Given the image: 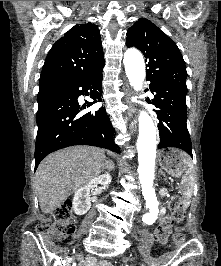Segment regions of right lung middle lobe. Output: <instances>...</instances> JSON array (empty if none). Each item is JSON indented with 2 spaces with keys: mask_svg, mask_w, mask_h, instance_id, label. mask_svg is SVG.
I'll list each match as a JSON object with an SVG mask.
<instances>
[{
  "mask_svg": "<svg viewBox=\"0 0 221 266\" xmlns=\"http://www.w3.org/2000/svg\"><path fill=\"white\" fill-rule=\"evenodd\" d=\"M64 87L61 86H53V85H49V86H42L39 88V93H38V103L41 102L42 100H44L45 98H47L48 96L62 90Z\"/></svg>",
  "mask_w": 221,
  "mask_h": 266,
  "instance_id": "right-lung-middle-lobe-1",
  "label": "right lung middle lobe"
}]
</instances>
